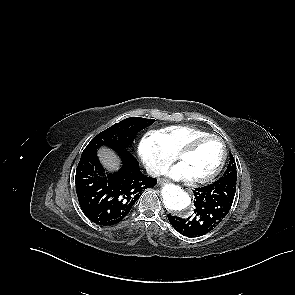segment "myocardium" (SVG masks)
<instances>
[{
    "label": "myocardium",
    "mask_w": 295,
    "mask_h": 295,
    "mask_svg": "<svg viewBox=\"0 0 295 295\" xmlns=\"http://www.w3.org/2000/svg\"><path fill=\"white\" fill-rule=\"evenodd\" d=\"M207 139H216L220 142L221 144V148H222V153H221V158L220 161L218 163V165L216 166V168L209 173L208 175L204 176V177H200V178H191V181L193 183L196 184H205L208 183L210 181H212L213 179H215L219 173L222 171L226 159H227V146L226 143L224 141V139L222 137H220L219 135L216 134H212V133H208V134H204V135H200L197 136L193 139H191L188 143H186L177 153H176V159L181 161L182 157H184L185 155L191 153L192 151H194L196 149V147L203 141L207 140Z\"/></svg>",
    "instance_id": "1"
}]
</instances>
